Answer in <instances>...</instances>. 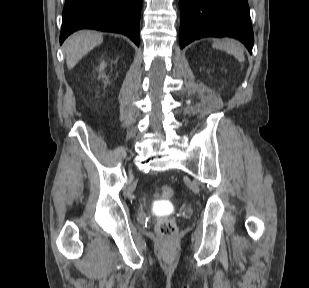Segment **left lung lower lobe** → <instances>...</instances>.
I'll use <instances>...</instances> for the list:
<instances>
[{"instance_id":"left-lung-lower-lobe-1","label":"left lung lower lobe","mask_w":309,"mask_h":288,"mask_svg":"<svg viewBox=\"0 0 309 288\" xmlns=\"http://www.w3.org/2000/svg\"><path fill=\"white\" fill-rule=\"evenodd\" d=\"M180 47L203 37L229 36L252 53L253 29L247 0H180Z\"/></svg>"}]
</instances>
